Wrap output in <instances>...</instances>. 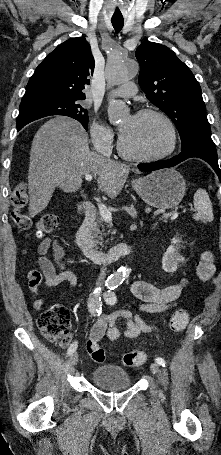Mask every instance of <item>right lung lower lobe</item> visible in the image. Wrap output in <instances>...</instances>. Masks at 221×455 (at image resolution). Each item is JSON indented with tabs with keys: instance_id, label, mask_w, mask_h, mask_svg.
I'll return each mask as SVG.
<instances>
[{
	"instance_id": "right-lung-lower-lobe-1",
	"label": "right lung lower lobe",
	"mask_w": 221,
	"mask_h": 455,
	"mask_svg": "<svg viewBox=\"0 0 221 455\" xmlns=\"http://www.w3.org/2000/svg\"><path fill=\"white\" fill-rule=\"evenodd\" d=\"M17 129H18V131H19V130L22 129V128H17Z\"/></svg>"
}]
</instances>
